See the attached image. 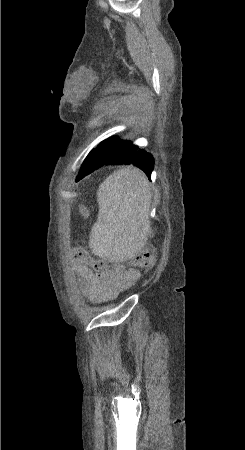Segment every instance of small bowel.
<instances>
[{
    "instance_id": "c3829d8e",
    "label": "small bowel",
    "mask_w": 245,
    "mask_h": 450,
    "mask_svg": "<svg viewBox=\"0 0 245 450\" xmlns=\"http://www.w3.org/2000/svg\"><path fill=\"white\" fill-rule=\"evenodd\" d=\"M72 268L78 275L83 292L93 302L115 298L119 293L132 287L140 277L138 269L117 270L108 268L97 273L90 265L73 256Z\"/></svg>"
}]
</instances>
